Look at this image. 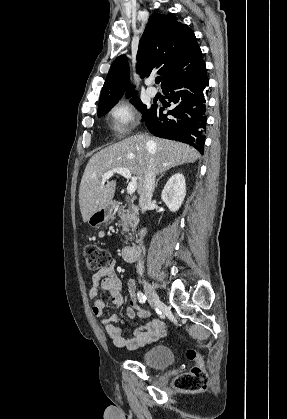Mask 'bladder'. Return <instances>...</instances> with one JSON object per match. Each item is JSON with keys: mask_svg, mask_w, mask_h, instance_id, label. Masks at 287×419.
I'll return each mask as SVG.
<instances>
[{"mask_svg": "<svg viewBox=\"0 0 287 419\" xmlns=\"http://www.w3.org/2000/svg\"><path fill=\"white\" fill-rule=\"evenodd\" d=\"M141 361L149 367L163 369L174 362V354L168 346H155L141 355Z\"/></svg>", "mask_w": 287, "mask_h": 419, "instance_id": "31cf9c89", "label": "bladder"}]
</instances>
